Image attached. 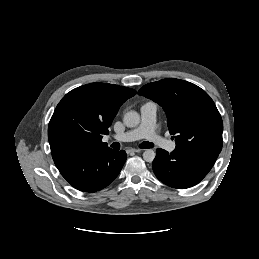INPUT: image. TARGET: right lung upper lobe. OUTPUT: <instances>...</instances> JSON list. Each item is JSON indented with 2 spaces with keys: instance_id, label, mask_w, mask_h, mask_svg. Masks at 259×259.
I'll return each instance as SVG.
<instances>
[{
  "instance_id": "cb5924a9",
  "label": "right lung upper lobe",
  "mask_w": 259,
  "mask_h": 259,
  "mask_svg": "<svg viewBox=\"0 0 259 259\" xmlns=\"http://www.w3.org/2000/svg\"><path fill=\"white\" fill-rule=\"evenodd\" d=\"M136 91L113 84L91 83L67 93L48 126L54 161L110 149L102 142L120 106Z\"/></svg>"
}]
</instances>
